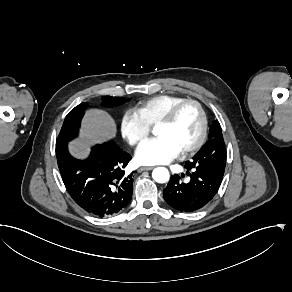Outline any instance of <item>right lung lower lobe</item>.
<instances>
[{
    "mask_svg": "<svg viewBox=\"0 0 292 292\" xmlns=\"http://www.w3.org/2000/svg\"><path fill=\"white\" fill-rule=\"evenodd\" d=\"M56 157L67 191L89 214L108 217L129 205L133 180L124 168L132 157L114 142L96 145L85 160L72 157L68 142L61 143L56 145Z\"/></svg>",
    "mask_w": 292,
    "mask_h": 292,
    "instance_id": "right-lung-lower-lobe-1",
    "label": "right lung lower lobe"
}]
</instances>
